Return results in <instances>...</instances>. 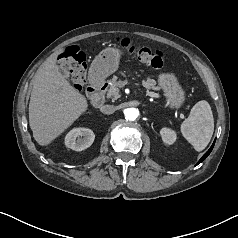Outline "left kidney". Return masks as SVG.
I'll return each instance as SVG.
<instances>
[{
  "label": "left kidney",
  "mask_w": 238,
  "mask_h": 238,
  "mask_svg": "<svg viewBox=\"0 0 238 238\" xmlns=\"http://www.w3.org/2000/svg\"><path fill=\"white\" fill-rule=\"evenodd\" d=\"M160 135L165 144L171 145L176 141V133L172 129L162 128L160 130Z\"/></svg>",
  "instance_id": "1"
}]
</instances>
